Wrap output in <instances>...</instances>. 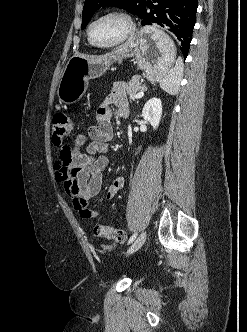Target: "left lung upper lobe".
Returning a JSON list of instances; mask_svg holds the SVG:
<instances>
[{"label": "left lung upper lobe", "mask_w": 247, "mask_h": 332, "mask_svg": "<svg viewBox=\"0 0 247 332\" xmlns=\"http://www.w3.org/2000/svg\"><path fill=\"white\" fill-rule=\"evenodd\" d=\"M146 0H85L82 12V25L84 29L93 14L102 6H115L135 13L138 17L145 7Z\"/></svg>", "instance_id": "obj_1"}]
</instances>
